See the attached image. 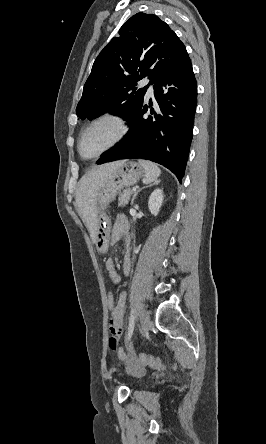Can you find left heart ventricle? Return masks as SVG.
Listing matches in <instances>:
<instances>
[{
	"instance_id": "left-heart-ventricle-1",
	"label": "left heart ventricle",
	"mask_w": 266,
	"mask_h": 444,
	"mask_svg": "<svg viewBox=\"0 0 266 444\" xmlns=\"http://www.w3.org/2000/svg\"><path fill=\"white\" fill-rule=\"evenodd\" d=\"M113 123L103 121L86 132L82 140V150L86 156H93L107 147L116 136Z\"/></svg>"
}]
</instances>
